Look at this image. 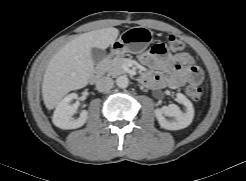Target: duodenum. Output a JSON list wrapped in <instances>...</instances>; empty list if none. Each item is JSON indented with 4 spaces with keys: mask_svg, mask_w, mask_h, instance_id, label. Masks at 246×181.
<instances>
[{
    "mask_svg": "<svg viewBox=\"0 0 246 181\" xmlns=\"http://www.w3.org/2000/svg\"><path fill=\"white\" fill-rule=\"evenodd\" d=\"M113 54V51H110L108 56H111ZM102 73L100 69H96L90 76V82L92 83H98L101 79Z\"/></svg>",
    "mask_w": 246,
    "mask_h": 181,
    "instance_id": "duodenum-1",
    "label": "duodenum"
}]
</instances>
